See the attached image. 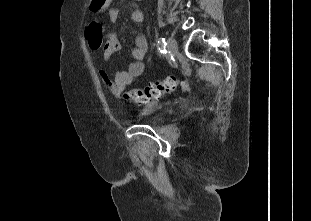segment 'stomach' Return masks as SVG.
I'll list each match as a JSON object with an SVG mask.
<instances>
[{
    "mask_svg": "<svg viewBox=\"0 0 311 221\" xmlns=\"http://www.w3.org/2000/svg\"><path fill=\"white\" fill-rule=\"evenodd\" d=\"M108 2H109V0H97V2H96L97 10H104V8H106V6H108Z\"/></svg>",
    "mask_w": 311,
    "mask_h": 221,
    "instance_id": "obj_1",
    "label": "stomach"
}]
</instances>
